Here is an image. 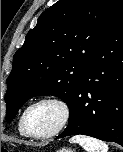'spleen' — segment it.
I'll list each match as a JSON object with an SVG mask.
<instances>
[{
  "instance_id": "spleen-1",
  "label": "spleen",
  "mask_w": 123,
  "mask_h": 152,
  "mask_svg": "<svg viewBox=\"0 0 123 152\" xmlns=\"http://www.w3.org/2000/svg\"><path fill=\"white\" fill-rule=\"evenodd\" d=\"M70 141L81 145L86 152H108V145L93 137L76 135Z\"/></svg>"
}]
</instances>
